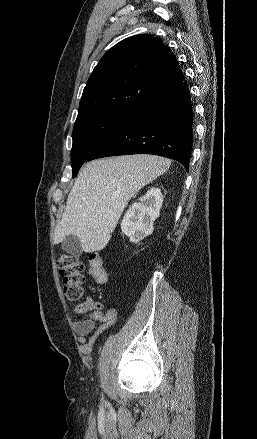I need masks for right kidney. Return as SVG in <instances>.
Instances as JSON below:
<instances>
[{"label": "right kidney", "mask_w": 257, "mask_h": 439, "mask_svg": "<svg viewBox=\"0 0 257 439\" xmlns=\"http://www.w3.org/2000/svg\"><path fill=\"white\" fill-rule=\"evenodd\" d=\"M162 202L161 190L151 187L129 207L121 222V229L131 242L139 243L153 232V223L159 217Z\"/></svg>", "instance_id": "right-kidney-1"}]
</instances>
